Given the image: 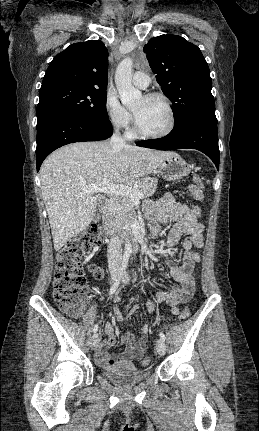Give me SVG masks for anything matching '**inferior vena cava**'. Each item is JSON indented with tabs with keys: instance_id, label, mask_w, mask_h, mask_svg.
Returning a JSON list of instances; mask_svg holds the SVG:
<instances>
[{
	"instance_id": "1",
	"label": "inferior vena cava",
	"mask_w": 259,
	"mask_h": 431,
	"mask_svg": "<svg viewBox=\"0 0 259 431\" xmlns=\"http://www.w3.org/2000/svg\"><path fill=\"white\" fill-rule=\"evenodd\" d=\"M109 144L112 149H121L125 147L126 142L120 135L119 129H115L112 137L110 138ZM112 212H116L114 206L111 204ZM108 262L109 266L117 265L120 266L122 262V249H121V241L118 235L115 232V228L113 227V231L111 234L110 242L108 245Z\"/></svg>"
}]
</instances>
